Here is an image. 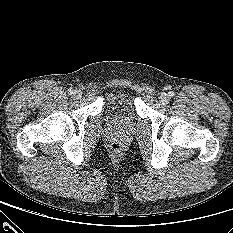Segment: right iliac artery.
<instances>
[{
	"mask_svg": "<svg viewBox=\"0 0 233 233\" xmlns=\"http://www.w3.org/2000/svg\"><path fill=\"white\" fill-rule=\"evenodd\" d=\"M68 94H70V95L73 94V89L72 88L68 89Z\"/></svg>",
	"mask_w": 233,
	"mask_h": 233,
	"instance_id": "82829eb1",
	"label": "right iliac artery"
}]
</instances>
